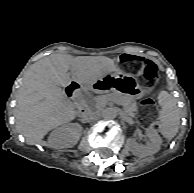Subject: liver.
Instances as JSON below:
<instances>
[{
    "instance_id": "liver-1",
    "label": "liver",
    "mask_w": 194,
    "mask_h": 193,
    "mask_svg": "<svg viewBox=\"0 0 194 193\" xmlns=\"http://www.w3.org/2000/svg\"><path fill=\"white\" fill-rule=\"evenodd\" d=\"M117 70L115 60L106 56L56 53L35 62L25 73L17 94L18 131L29 145H46L43 138L50 130L75 118L74 105L61 87H67L71 81L90 86Z\"/></svg>"
}]
</instances>
